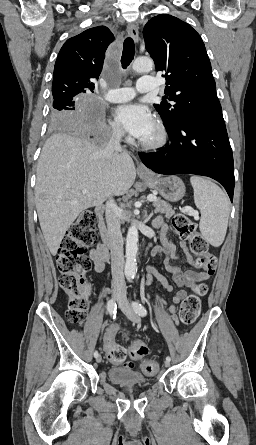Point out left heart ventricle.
<instances>
[{
  "instance_id": "obj_1",
  "label": "left heart ventricle",
  "mask_w": 256,
  "mask_h": 445,
  "mask_svg": "<svg viewBox=\"0 0 256 445\" xmlns=\"http://www.w3.org/2000/svg\"><path fill=\"white\" fill-rule=\"evenodd\" d=\"M155 136V128L152 130V132L143 140H151Z\"/></svg>"
}]
</instances>
